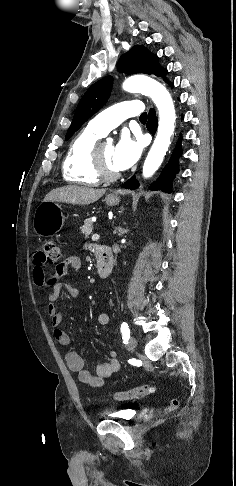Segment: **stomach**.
I'll return each instance as SVG.
<instances>
[{"label":"stomach","instance_id":"0dacf381","mask_svg":"<svg viewBox=\"0 0 236 486\" xmlns=\"http://www.w3.org/2000/svg\"><path fill=\"white\" fill-rule=\"evenodd\" d=\"M108 206L118 205L120 198L117 194H110L105 198ZM64 225L61 206L55 201H43L35 210L33 228L37 235L49 237L58 233Z\"/></svg>","mask_w":236,"mask_h":486}]
</instances>
